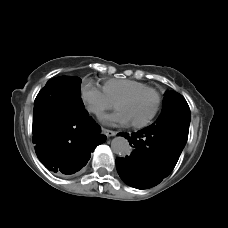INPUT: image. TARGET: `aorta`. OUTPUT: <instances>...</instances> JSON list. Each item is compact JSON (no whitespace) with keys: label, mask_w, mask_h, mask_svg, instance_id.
Masks as SVG:
<instances>
[{"label":"aorta","mask_w":228,"mask_h":228,"mask_svg":"<svg viewBox=\"0 0 228 228\" xmlns=\"http://www.w3.org/2000/svg\"><path fill=\"white\" fill-rule=\"evenodd\" d=\"M111 149L115 154L126 156L130 153V145L126 138L122 136L115 137L111 142Z\"/></svg>","instance_id":"aorta-1"}]
</instances>
